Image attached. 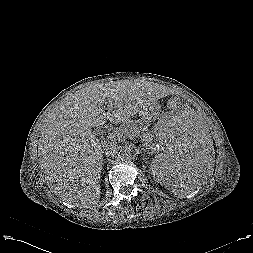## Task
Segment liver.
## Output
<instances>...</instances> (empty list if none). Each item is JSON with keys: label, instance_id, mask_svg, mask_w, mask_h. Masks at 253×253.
Wrapping results in <instances>:
<instances>
[{"label": "liver", "instance_id": "liver-1", "mask_svg": "<svg viewBox=\"0 0 253 253\" xmlns=\"http://www.w3.org/2000/svg\"><path fill=\"white\" fill-rule=\"evenodd\" d=\"M157 88L129 80L93 84L70 95L43 121L38 155L56 196L80 208L99 202L103 153L91 128L108 120L125 123L158 98Z\"/></svg>", "mask_w": 253, "mask_h": 253}]
</instances>
